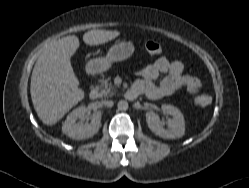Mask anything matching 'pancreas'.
Listing matches in <instances>:
<instances>
[{
  "label": "pancreas",
  "mask_w": 249,
  "mask_h": 188,
  "mask_svg": "<svg viewBox=\"0 0 249 188\" xmlns=\"http://www.w3.org/2000/svg\"><path fill=\"white\" fill-rule=\"evenodd\" d=\"M114 89V86L109 81V79H105L100 84V96L101 97H107L108 95H113L112 90Z\"/></svg>",
  "instance_id": "pancreas-1"
}]
</instances>
